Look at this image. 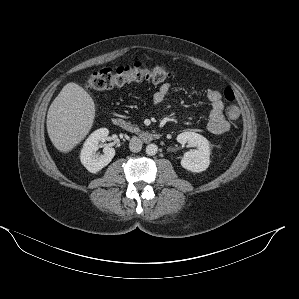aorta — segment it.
Masks as SVG:
<instances>
[{
	"label": "aorta",
	"mask_w": 299,
	"mask_h": 299,
	"mask_svg": "<svg viewBox=\"0 0 299 299\" xmlns=\"http://www.w3.org/2000/svg\"><path fill=\"white\" fill-rule=\"evenodd\" d=\"M158 151V147L156 144H149L146 147V153L150 156L155 155Z\"/></svg>",
	"instance_id": "aorta-1"
}]
</instances>
